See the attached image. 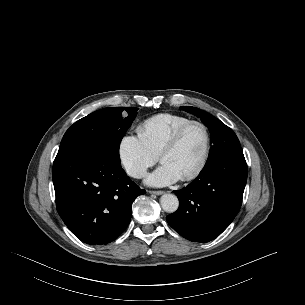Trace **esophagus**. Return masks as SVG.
Segmentation results:
<instances>
[{
  "instance_id": "1",
  "label": "esophagus",
  "mask_w": 305,
  "mask_h": 305,
  "mask_svg": "<svg viewBox=\"0 0 305 305\" xmlns=\"http://www.w3.org/2000/svg\"><path fill=\"white\" fill-rule=\"evenodd\" d=\"M148 192L150 194H154V195H162V194H164V191H161V190H150Z\"/></svg>"
}]
</instances>
